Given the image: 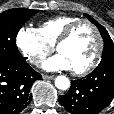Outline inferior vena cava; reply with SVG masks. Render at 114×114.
<instances>
[{
  "label": "inferior vena cava",
  "instance_id": "inferior-vena-cava-1",
  "mask_svg": "<svg viewBox=\"0 0 114 114\" xmlns=\"http://www.w3.org/2000/svg\"><path fill=\"white\" fill-rule=\"evenodd\" d=\"M29 61H30V63L38 65L41 62V58H39V57H32Z\"/></svg>",
  "mask_w": 114,
  "mask_h": 114
}]
</instances>
